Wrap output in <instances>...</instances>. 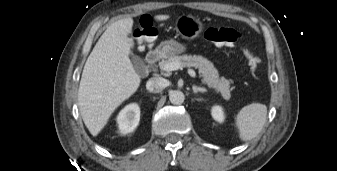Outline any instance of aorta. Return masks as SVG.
I'll return each mask as SVG.
<instances>
[{"instance_id":"obj_1","label":"aorta","mask_w":337,"mask_h":171,"mask_svg":"<svg viewBox=\"0 0 337 171\" xmlns=\"http://www.w3.org/2000/svg\"><path fill=\"white\" fill-rule=\"evenodd\" d=\"M185 96L180 90H173L169 93V100L174 105H180L184 102Z\"/></svg>"}]
</instances>
